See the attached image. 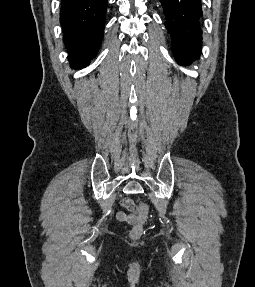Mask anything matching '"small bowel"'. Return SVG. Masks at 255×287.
Here are the masks:
<instances>
[{"mask_svg": "<svg viewBox=\"0 0 255 287\" xmlns=\"http://www.w3.org/2000/svg\"><path fill=\"white\" fill-rule=\"evenodd\" d=\"M121 205L130 211L129 214H127L125 211H119L116 214V218L119 222L127 223L130 225H134L137 221V214H136V207L133 203V201L130 198H124L121 202Z\"/></svg>", "mask_w": 255, "mask_h": 287, "instance_id": "small-bowel-1", "label": "small bowel"}]
</instances>
